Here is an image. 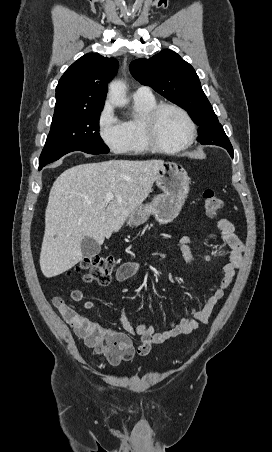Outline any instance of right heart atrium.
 <instances>
[{
    "label": "right heart atrium",
    "mask_w": 272,
    "mask_h": 452,
    "mask_svg": "<svg viewBox=\"0 0 272 452\" xmlns=\"http://www.w3.org/2000/svg\"><path fill=\"white\" fill-rule=\"evenodd\" d=\"M97 132L102 142L114 152H122L125 134L122 122L115 116L109 102L105 103L97 118Z\"/></svg>",
    "instance_id": "d8ad5b80"
}]
</instances>
